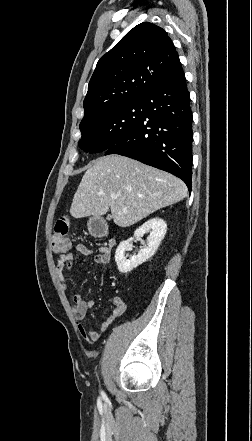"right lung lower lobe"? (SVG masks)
<instances>
[{
  "mask_svg": "<svg viewBox=\"0 0 252 441\" xmlns=\"http://www.w3.org/2000/svg\"><path fill=\"white\" fill-rule=\"evenodd\" d=\"M141 101L139 123L105 155L127 156L170 172L191 191L192 112L181 64L146 92Z\"/></svg>",
  "mask_w": 252,
  "mask_h": 441,
  "instance_id": "obj_1",
  "label": "right lung lower lobe"
}]
</instances>
